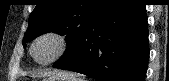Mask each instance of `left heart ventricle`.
<instances>
[{"instance_id":"left-heart-ventricle-1","label":"left heart ventricle","mask_w":169,"mask_h":81,"mask_svg":"<svg viewBox=\"0 0 169 81\" xmlns=\"http://www.w3.org/2000/svg\"><path fill=\"white\" fill-rule=\"evenodd\" d=\"M58 50V42L52 38L39 40L33 50L34 57L39 61L51 59Z\"/></svg>"}]
</instances>
